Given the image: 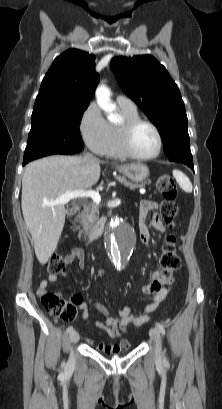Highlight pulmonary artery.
<instances>
[{"label":"pulmonary artery","instance_id":"obj_1","mask_svg":"<svg viewBox=\"0 0 222 409\" xmlns=\"http://www.w3.org/2000/svg\"><path fill=\"white\" fill-rule=\"evenodd\" d=\"M116 102L119 106L124 107V108H129V109L136 108L135 103L130 98L123 96V95L117 96Z\"/></svg>","mask_w":222,"mask_h":409}]
</instances>
